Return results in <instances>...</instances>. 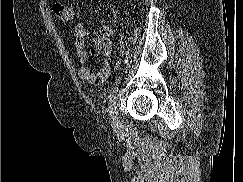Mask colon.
I'll list each match as a JSON object with an SVG mask.
<instances>
[{"mask_svg":"<svg viewBox=\"0 0 243 182\" xmlns=\"http://www.w3.org/2000/svg\"><path fill=\"white\" fill-rule=\"evenodd\" d=\"M53 11L57 17L65 21L71 20L74 15L72 7L65 3H55L53 5ZM103 43L106 45L107 40H103Z\"/></svg>","mask_w":243,"mask_h":182,"instance_id":"obj_1","label":"colon"}]
</instances>
